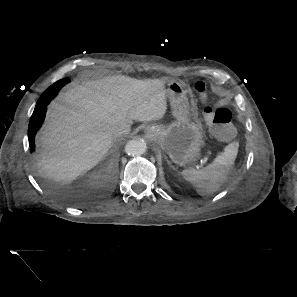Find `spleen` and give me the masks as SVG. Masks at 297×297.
Returning a JSON list of instances; mask_svg holds the SVG:
<instances>
[{
	"mask_svg": "<svg viewBox=\"0 0 297 297\" xmlns=\"http://www.w3.org/2000/svg\"><path fill=\"white\" fill-rule=\"evenodd\" d=\"M238 147V143L233 142L227 145L224 151L202 170L189 168L183 170L181 175L196 188L199 195H210L218 191L227 181L237 156Z\"/></svg>",
	"mask_w": 297,
	"mask_h": 297,
	"instance_id": "obj_1",
	"label": "spleen"
}]
</instances>
